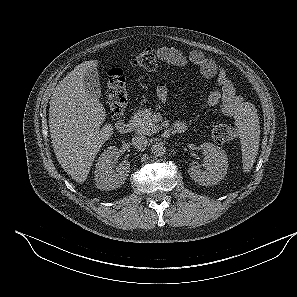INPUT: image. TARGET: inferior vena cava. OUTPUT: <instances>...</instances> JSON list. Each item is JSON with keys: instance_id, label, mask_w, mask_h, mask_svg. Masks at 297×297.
<instances>
[{"instance_id": "inferior-vena-cava-1", "label": "inferior vena cava", "mask_w": 297, "mask_h": 297, "mask_svg": "<svg viewBox=\"0 0 297 297\" xmlns=\"http://www.w3.org/2000/svg\"><path fill=\"white\" fill-rule=\"evenodd\" d=\"M147 139L145 136L141 135V136H134L132 138V144L133 146L138 149V150H142L147 146Z\"/></svg>"}]
</instances>
